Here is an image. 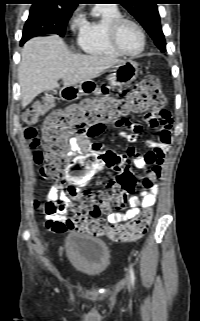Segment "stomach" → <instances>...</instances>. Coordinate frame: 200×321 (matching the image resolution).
Returning <instances> with one entry per match:
<instances>
[{
	"label": "stomach",
	"mask_w": 200,
	"mask_h": 321,
	"mask_svg": "<svg viewBox=\"0 0 200 321\" xmlns=\"http://www.w3.org/2000/svg\"><path fill=\"white\" fill-rule=\"evenodd\" d=\"M138 64L135 61H123L112 67L111 74L107 80L110 86H124L133 82L138 76ZM97 87L94 81H85L78 85L64 87L60 91V96L64 100H76L82 95L95 92Z\"/></svg>",
	"instance_id": "obj_1"
}]
</instances>
